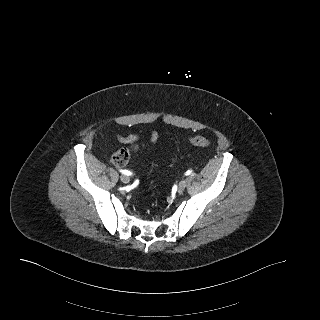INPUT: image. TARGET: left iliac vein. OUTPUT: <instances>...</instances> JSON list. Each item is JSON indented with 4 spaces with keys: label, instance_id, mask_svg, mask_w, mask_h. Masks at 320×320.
Segmentation results:
<instances>
[{
    "label": "left iliac vein",
    "instance_id": "1",
    "mask_svg": "<svg viewBox=\"0 0 320 320\" xmlns=\"http://www.w3.org/2000/svg\"><path fill=\"white\" fill-rule=\"evenodd\" d=\"M187 186V180L186 179H183L179 182V185H178V192H182Z\"/></svg>",
    "mask_w": 320,
    "mask_h": 320
}]
</instances>
